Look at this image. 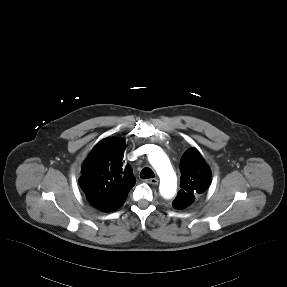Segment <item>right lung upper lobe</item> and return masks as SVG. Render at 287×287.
<instances>
[{
	"label": "right lung upper lobe",
	"mask_w": 287,
	"mask_h": 287,
	"mask_svg": "<svg viewBox=\"0 0 287 287\" xmlns=\"http://www.w3.org/2000/svg\"><path fill=\"white\" fill-rule=\"evenodd\" d=\"M125 142L105 138L84 161L79 185L87 199L112 200L128 195L136 182L132 168L123 161Z\"/></svg>",
	"instance_id": "1"
}]
</instances>
